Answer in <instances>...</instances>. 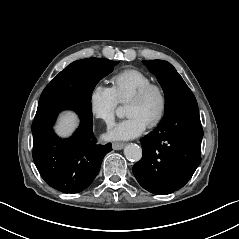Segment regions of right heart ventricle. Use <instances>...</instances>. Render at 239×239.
<instances>
[{
    "mask_svg": "<svg viewBox=\"0 0 239 239\" xmlns=\"http://www.w3.org/2000/svg\"><path fill=\"white\" fill-rule=\"evenodd\" d=\"M110 80L119 101L122 103L127 102L138 89L152 82L147 73L136 68L116 72Z\"/></svg>",
    "mask_w": 239,
    "mask_h": 239,
    "instance_id": "1",
    "label": "right heart ventricle"
}]
</instances>
